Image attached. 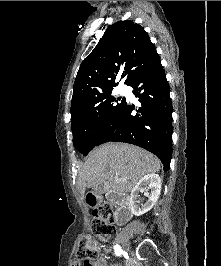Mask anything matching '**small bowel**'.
I'll return each mask as SVG.
<instances>
[{"label": "small bowel", "mask_w": 221, "mask_h": 266, "mask_svg": "<svg viewBox=\"0 0 221 266\" xmlns=\"http://www.w3.org/2000/svg\"><path fill=\"white\" fill-rule=\"evenodd\" d=\"M72 266H81V263L77 260L73 261ZM83 266H108L104 257V254H100L94 261L85 262Z\"/></svg>", "instance_id": "obj_1"}]
</instances>
